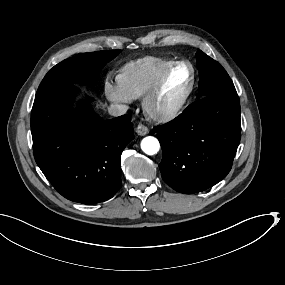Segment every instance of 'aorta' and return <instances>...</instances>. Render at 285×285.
Here are the masks:
<instances>
[{
	"instance_id": "1",
	"label": "aorta",
	"mask_w": 285,
	"mask_h": 285,
	"mask_svg": "<svg viewBox=\"0 0 285 285\" xmlns=\"http://www.w3.org/2000/svg\"><path fill=\"white\" fill-rule=\"evenodd\" d=\"M141 149L147 155H155L160 150L159 141L154 137H146L141 142Z\"/></svg>"
}]
</instances>
